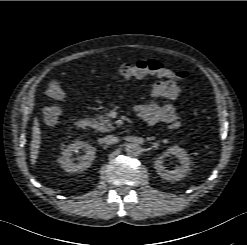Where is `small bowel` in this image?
<instances>
[{
    "label": "small bowel",
    "mask_w": 247,
    "mask_h": 245,
    "mask_svg": "<svg viewBox=\"0 0 247 245\" xmlns=\"http://www.w3.org/2000/svg\"><path fill=\"white\" fill-rule=\"evenodd\" d=\"M181 93L180 86L173 80L156 82L152 87V102L135 107L136 114L147 124L158 122L170 123L177 118V111L169 102L161 103V99L175 101Z\"/></svg>",
    "instance_id": "c3829d8e"
}]
</instances>
